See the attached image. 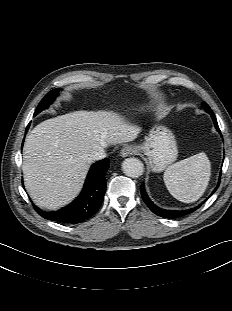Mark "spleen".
I'll list each match as a JSON object with an SVG mask.
<instances>
[{"mask_svg":"<svg viewBox=\"0 0 232 311\" xmlns=\"http://www.w3.org/2000/svg\"><path fill=\"white\" fill-rule=\"evenodd\" d=\"M211 164L205 153H198L169 166L163 175L170 194L185 203L197 201L205 192Z\"/></svg>","mask_w":232,"mask_h":311,"instance_id":"spleen-1","label":"spleen"}]
</instances>
